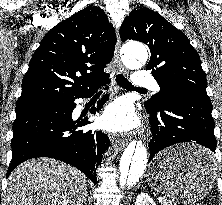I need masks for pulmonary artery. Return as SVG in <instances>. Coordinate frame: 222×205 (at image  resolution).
<instances>
[{"mask_svg":"<svg viewBox=\"0 0 222 205\" xmlns=\"http://www.w3.org/2000/svg\"><path fill=\"white\" fill-rule=\"evenodd\" d=\"M133 85L137 88L158 91L155 78L145 71H137L133 77Z\"/></svg>","mask_w":222,"mask_h":205,"instance_id":"pulmonary-artery-1","label":"pulmonary artery"}]
</instances>
